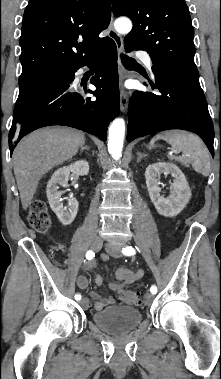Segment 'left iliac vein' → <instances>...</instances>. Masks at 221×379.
<instances>
[{
  "mask_svg": "<svg viewBox=\"0 0 221 379\" xmlns=\"http://www.w3.org/2000/svg\"><path fill=\"white\" fill-rule=\"evenodd\" d=\"M122 243L112 242L106 245V251L113 257L121 256ZM154 300V296L151 293H146L144 296L145 305H151Z\"/></svg>",
  "mask_w": 221,
  "mask_h": 379,
  "instance_id": "4c4485c4",
  "label": "left iliac vein"
}]
</instances>
